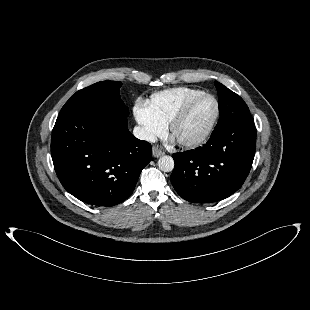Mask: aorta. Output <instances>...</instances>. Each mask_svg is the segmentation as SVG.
<instances>
[{"instance_id":"1","label":"aorta","mask_w":310,"mask_h":310,"mask_svg":"<svg viewBox=\"0 0 310 310\" xmlns=\"http://www.w3.org/2000/svg\"><path fill=\"white\" fill-rule=\"evenodd\" d=\"M158 167L163 172H171L174 169V160L171 156L164 155L158 160Z\"/></svg>"}]
</instances>
